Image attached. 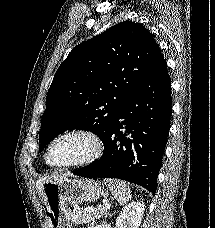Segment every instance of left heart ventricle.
Returning <instances> with one entry per match:
<instances>
[{
	"instance_id": "b2bd125f",
	"label": "left heart ventricle",
	"mask_w": 215,
	"mask_h": 228,
	"mask_svg": "<svg viewBox=\"0 0 215 228\" xmlns=\"http://www.w3.org/2000/svg\"><path fill=\"white\" fill-rule=\"evenodd\" d=\"M87 149L83 139L70 137L57 142L49 151L47 161L52 166L71 162L82 156Z\"/></svg>"
}]
</instances>
